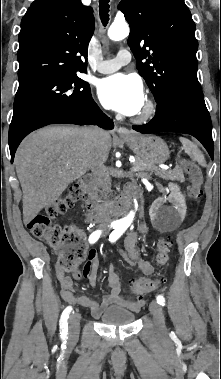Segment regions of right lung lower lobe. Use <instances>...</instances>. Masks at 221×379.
<instances>
[{"mask_svg": "<svg viewBox=\"0 0 221 379\" xmlns=\"http://www.w3.org/2000/svg\"><path fill=\"white\" fill-rule=\"evenodd\" d=\"M54 123H68L78 125L94 124L104 129H112L114 127V124L110 118L100 110V108L91 98L87 103L81 106L45 119L41 123L37 124L34 128L29 130L27 133L19 137L16 141L9 143L11 162L14 160L15 151L18 145L26 135H28L33 130Z\"/></svg>", "mask_w": 221, "mask_h": 379, "instance_id": "obj_1", "label": "right lung lower lobe"}]
</instances>
